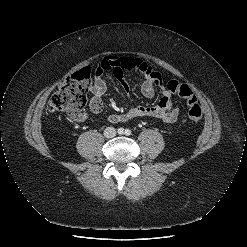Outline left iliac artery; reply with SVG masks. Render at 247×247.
<instances>
[{"label": "left iliac artery", "mask_w": 247, "mask_h": 247, "mask_svg": "<svg viewBox=\"0 0 247 247\" xmlns=\"http://www.w3.org/2000/svg\"><path fill=\"white\" fill-rule=\"evenodd\" d=\"M125 135H127V136L131 135V130L130 129H126L125 130Z\"/></svg>", "instance_id": "44dca946"}]
</instances>
